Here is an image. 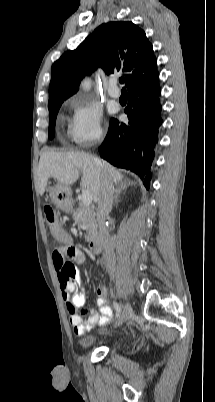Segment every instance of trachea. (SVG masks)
Here are the masks:
<instances>
[{
  "instance_id": "1",
  "label": "trachea",
  "mask_w": 215,
  "mask_h": 402,
  "mask_svg": "<svg viewBox=\"0 0 215 402\" xmlns=\"http://www.w3.org/2000/svg\"><path fill=\"white\" fill-rule=\"evenodd\" d=\"M119 82H120L121 84H123V83L125 82V78H124V77L119 78Z\"/></svg>"
}]
</instances>
